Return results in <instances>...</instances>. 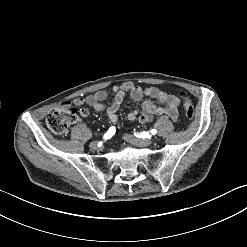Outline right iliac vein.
<instances>
[{
  "mask_svg": "<svg viewBox=\"0 0 247 247\" xmlns=\"http://www.w3.org/2000/svg\"><path fill=\"white\" fill-rule=\"evenodd\" d=\"M90 148H91L92 150H97V149L99 148L98 142H96V141L91 142V143H90Z\"/></svg>",
  "mask_w": 247,
  "mask_h": 247,
  "instance_id": "1",
  "label": "right iliac vein"
}]
</instances>
